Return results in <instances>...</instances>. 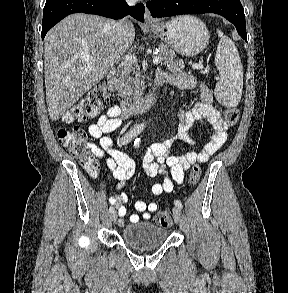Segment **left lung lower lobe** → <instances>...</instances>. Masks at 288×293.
Masks as SVG:
<instances>
[{"label":"left lung lower lobe","instance_id":"left-lung-lower-lobe-1","mask_svg":"<svg viewBox=\"0 0 288 293\" xmlns=\"http://www.w3.org/2000/svg\"><path fill=\"white\" fill-rule=\"evenodd\" d=\"M152 17L215 13L232 22L247 41L244 9L240 0H152L147 2Z\"/></svg>","mask_w":288,"mask_h":293}]
</instances>
